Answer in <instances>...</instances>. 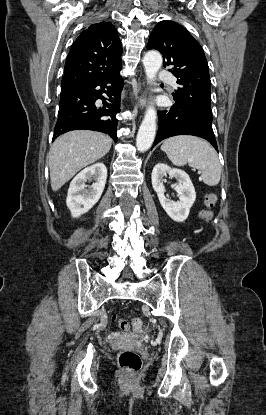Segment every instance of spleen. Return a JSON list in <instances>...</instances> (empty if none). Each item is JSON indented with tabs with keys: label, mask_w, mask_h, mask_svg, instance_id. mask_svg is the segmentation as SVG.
<instances>
[{
	"label": "spleen",
	"mask_w": 266,
	"mask_h": 415,
	"mask_svg": "<svg viewBox=\"0 0 266 415\" xmlns=\"http://www.w3.org/2000/svg\"><path fill=\"white\" fill-rule=\"evenodd\" d=\"M175 166L190 167L201 171L200 180L208 186L220 182L221 165L216 151L206 141L194 136H175L165 140L161 146Z\"/></svg>",
	"instance_id": "obj_1"
}]
</instances>
